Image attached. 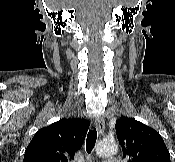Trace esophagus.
I'll list each match as a JSON object with an SVG mask.
<instances>
[{
  "label": "esophagus",
  "mask_w": 175,
  "mask_h": 162,
  "mask_svg": "<svg viewBox=\"0 0 175 162\" xmlns=\"http://www.w3.org/2000/svg\"><path fill=\"white\" fill-rule=\"evenodd\" d=\"M95 124L98 130V133L100 135H102L104 133L105 130V121L102 117H97L95 120Z\"/></svg>",
  "instance_id": "34e87169"
}]
</instances>
